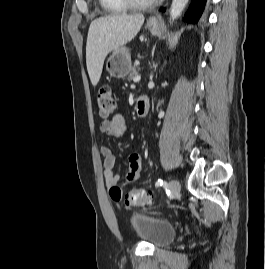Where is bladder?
Instances as JSON below:
<instances>
[{"label":"bladder","instance_id":"bladder-1","mask_svg":"<svg viewBox=\"0 0 265 269\" xmlns=\"http://www.w3.org/2000/svg\"><path fill=\"white\" fill-rule=\"evenodd\" d=\"M129 223L137 237L154 247H164L176 236V228L171 223L143 212H134Z\"/></svg>","mask_w":265,"mask_h":269}]
</instances>
